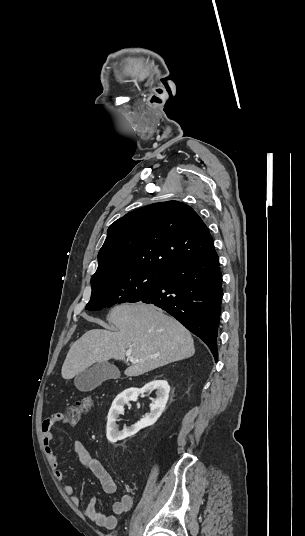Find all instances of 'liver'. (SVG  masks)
<instances>
[{"label": "liver", "mask_w": 305, "mask_h": 536, "mask_svg": "<svg viewBox=\"0 0 305 536\" xmlns=\"http://www.w3.org/2000/svg\"><path fill=\"white\" fill-rule=\"evenodd\" d=\"M119 332L89 330L72 344L62 366L64 380H72L96 362L140 360L126 368L125 376H141L160 366L191 358L195 354L193 338L177 320L163 314L152 304H121L107 316ZM104 326L102 320H94Z\"/></svg>", "instance_id": "6515ba94"}]
</instances>
